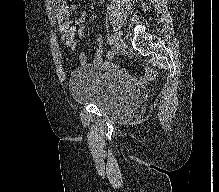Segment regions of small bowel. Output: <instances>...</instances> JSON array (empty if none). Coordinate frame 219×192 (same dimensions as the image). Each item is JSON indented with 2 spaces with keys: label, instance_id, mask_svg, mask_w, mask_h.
<instances>
[{
  "label": "small bowel",
  "instance_id": "obj_1",
  "mask_svg": "<svg viewBox=\"0 0 219 192\" xmlns=\"http://www.w3.org/2000/svg\"><path fill=\"white\" fill-rule=\"evenodd\" d=\"M73 6H67L64 4L62 8L56 9V17L58 19V23L61 18H65L67 22L66 27H60L59 29L62 33L63 42L73 51H76L79 48V42L76 37L83 38L85 36V23L88 17L86 12H81L76 17H70V11L73 10ZM96 42L98 44V48L95 51V64L101 65L103 63V39L101 37H97ZM80 61L81 63H85L87 61V54L85 52L80 53ZM154 77V70H147L142 76L143 81L152 80Z\"/></svg>",
  "mask_w": 219,
  "mask_h": 192
}]
</instances>
